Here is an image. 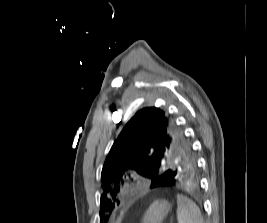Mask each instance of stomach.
Returning a JSON list of instances; mask_svg holds the SVG:
<instances>
[{
	"label": "stomach",
	"instance_id": "obj_1",
	"mask_svg": "<svg viewBox=\"0 0 267 223\" xmlns=\"http://www.w3.org/2000/svg\"><path fill=\"white\" fill-rule=\"evenodd\" d=\"M171 206L166 200H156L147 209L143 223H162Z\"/></svg>",
	"mask_w": 267,
	"mask_h": 223
}]
</instances>
